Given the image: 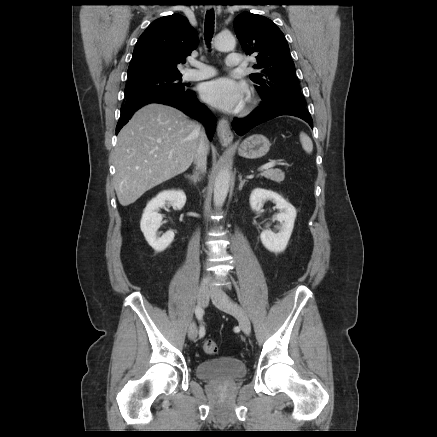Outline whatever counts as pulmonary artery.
Listing matches in <instances>:
<instances>
[{"mask_svg":"<svg viewBox=\"0 0 437 437\" xmlns=\"http://www.w3.org/2000/svg\"><path fill=\"white\" fill-rule=\"evenodd\" d=\"M242 58L238 53H229L226 58V65L230 68L241 66ZM195 69H190L185 73V79L188 81L203 80L213 77L216 74L215 69L202 62H193Z\"/></svg>","mask_w":437,"mask_h":437,"instance_id":"e3ab8cb5","label":"pulmonary artery"}]
</instances>
